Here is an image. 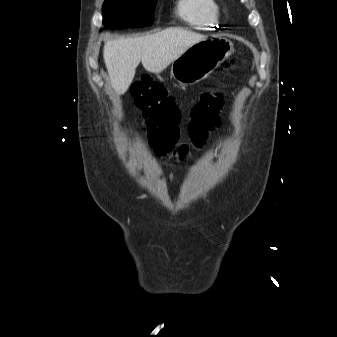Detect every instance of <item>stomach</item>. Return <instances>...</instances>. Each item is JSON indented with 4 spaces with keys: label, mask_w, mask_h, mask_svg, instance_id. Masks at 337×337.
I'll list each match as a JSON object with an SVG mask.
<instances>
[{
    "label": "stomach",
    "mask_w": 337,
    "mask_h": 337,
    "mask_svg": "<svg viewBox=\"0 0 337 337\" xmlns=\"http://www.w3.org/2000/svg\"><path fill=\"white\" fill-rule=\"evenodd\" d=\"M233 52V43L226 38H210L190 46L172 62L171 74L183 85H192L207 78Z\"/></svg>",
    "instance_id": "stomach-1"
}]
</instances>
